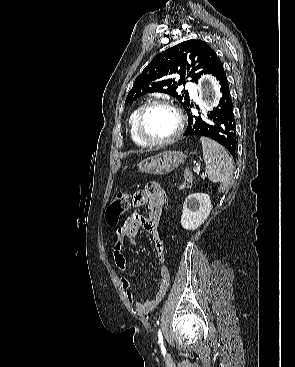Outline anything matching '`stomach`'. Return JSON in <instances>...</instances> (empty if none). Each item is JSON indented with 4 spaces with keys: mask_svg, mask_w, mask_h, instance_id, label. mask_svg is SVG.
I'll return each instance as SVG.
<instances>
[{
    "mask_svg": "<svg viewBox=\"0 0 295 367\" xmlns=\"http://www.w3.org/2000/svg\"><path fill=\"white\" fill-rule=\"evenodd\" d=\"M186 157V154L181 151H164L141 161L139 169L149 174H167L184 163Z\"/></svg>",
    "mask_w": 295,
    "mask_h": 367,
    "instance_id": "stomach-1",
    "label": "stomach"
}]
</instances>
